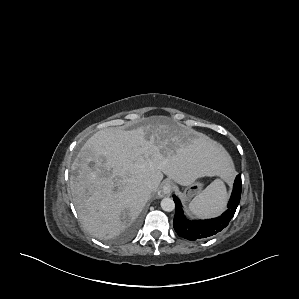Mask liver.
Masks as SVG:
<instances>
[{"label": "liver", "mask_w": 299, "mask_h": 299, "mask_svg": "<svg viewBox=\"0 0 299 299\" xmlns=\"http://www.w3.org/2000/svg\"><path fill=\"white\" fill-rule=\"evenodd\" d=\"M231 171V158L220 144L168 118L154 117L133 130L110 127L93 134L71 165L69 186L83 227L111 239L140 214L163 174L187 186L197 178L226 177Z\"/></svg>", "instance_id": "liver-1"}]
</instances>
